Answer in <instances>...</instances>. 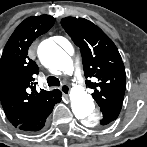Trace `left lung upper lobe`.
Here are the masks:
<instances>
[{
	"mask_svg": "<svg viewBox=\"0 0 147 147\" xmlns=\"http://www.w3.org/2000/svg\"><path fill=\"white\" fill-rule=\"evenodd\" d=\"M61 24L80 48L84 74L88 78L86 85L94 90L92 96L100 109L122 105L126 88L125 68L113 41L84 18L66 17Z\"/></svg>",
	"mask_w": 147,
	"mask_h": 147,
	"instance_id": "5c2ea615",
	"label": "left lung upper lobe"
}]
</instances>
